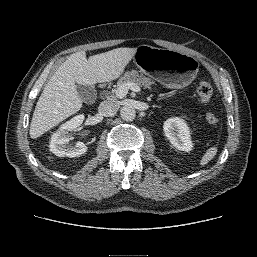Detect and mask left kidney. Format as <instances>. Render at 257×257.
<instances>
[{
    "label": "left kidney",
    "instance_id": "1",
    "mask_svg": "<svg viewBox=\"0 0 257 257\" xmlns=\"http://www.w3.org/2000/svg\"><path fill=\"white\" fill-rule=\"evenodd\" d=\"M163 129L165 136L175 148L185 152L192 150L190 130L183 119L169 118L164 122Z\"/></svg>",
    "mask_w": 257,
    "mask_h": 257
}]
</instances>
